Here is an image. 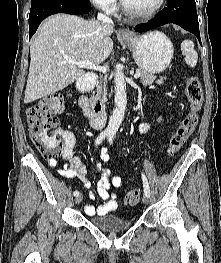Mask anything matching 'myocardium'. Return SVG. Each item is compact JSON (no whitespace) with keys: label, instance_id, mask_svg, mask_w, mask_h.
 <instances>
[{"label":"myocardium","instance_id":"1","mask_svg":"<svg viewBox=\"0 0 221 263\" xmlns=\"http://www.w3.org/2000/svg\"><path fill=\"white\" fill-rule=\"evenodd\" d=\"M166 0H159L157 5L150 10L139 11L130 7L125 0H121L122 7L125 12L133 17L148 18L158 13L164 6Z\"/></svg>","mask_w":221,"mask_h":263}]
</instances>
